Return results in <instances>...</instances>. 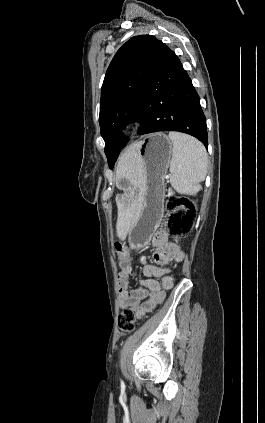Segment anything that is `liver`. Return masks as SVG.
Wrapping results in <instances>:
<instances>
[{
  "mask_svg": "<svg viewBox=\"0 0 265 423\" xmlns=\"http://www.w3.org/2000/svg\"><path fill=\"white\" fill-rule=\"evenodd\" d=\"M138 148V143H134L119 157L116 170V185L119 189H122L119 184L121 180H126L136 187L141 185L142 168L136 160ZM127 197L129 199L122 202L117 199L118 218L116 230L120 240L126 238L141 208V197L134 196V194H130Z\"/></svg>",
  "mask_w": 265,
  "mask_h": 423,
  "instance_id": "obj_1",
  "label": "liver"
}]
</instances>
